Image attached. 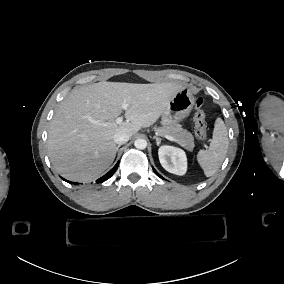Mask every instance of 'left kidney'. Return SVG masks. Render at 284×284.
<instances>
[{"label":"left kidney","mask_w":284,"mask_h":284,"mask_svg":"<svg viewBox=\"0 0 284 284\" xmlns=\"http://www.w3.org/2000/svg\"><path fill=\"white\" fill-rule=\"evenodd\" d=\"M159 161L162 167L173 174L183 175L186 171V158L181 149L162 146L159 149Z\"/></svg>","instance_id":"5707ae66"}]
</instances>
